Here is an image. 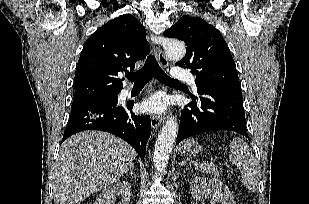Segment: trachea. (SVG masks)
<instances>
[{
    "label": "trachea",
    "instance_id": "obj_1",
    "mask_svg": "<svg viewBox=\"0 0 309 204\" xmlns=\"http://www.w3.org/2000/svg\"><path fill=\"white\" fill-rule=\"evenodd\" d=\"M152 77L165 84H181L180 81L170 78L160 68L153 55L147 57L144 66L135 73L126 74V78L134 82V85H145Z\"/></svg>",
    "mask_w": 309,
    "mask_h": 204
}]
</instances>
